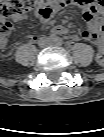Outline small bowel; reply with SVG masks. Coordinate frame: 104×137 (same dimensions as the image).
Listing matches in <instances>:
<instances>
[{"mask_svg": "<svg viewBox=\"0 0 104 137\" xmlns=\"http://www.w3.org/2000/svg\"><path fill=\"white\" fill-rule=\"evenodd\" d=\"M95 0H75V3L82 10V18L87 23V29L83 30L76 36V39L82 38L84 40L94 43L98 47L97 58L102 59V32H103V16L102 9L97 6ZM53 33L64 35L68 33V29L62 25L54 27ZM8 44V35L0 36V46L6 47Z\"/></svg>", "mask_w": 104, "mask_h": 137, "instance_id": "c3829d8e", "label": "small bowel"}]
</instances>
